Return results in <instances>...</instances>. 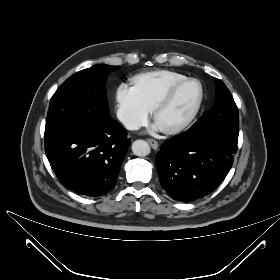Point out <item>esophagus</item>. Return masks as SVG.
<instances>
[{"instance_id":"esophagus-1","label":"esophagus","mask_w":280,"mask_h":280,"mask_svg":"<svg viewBox=\"0 0 280 280\" xmlns=\"http://www.w3.org/2000/svg\"><path fill=\"white\" fill-rule=\"evenodd\" d=\"M147 142L150 144V146L153 149H157L158 148V142L154 139H147Z\"/></svg>"}]
</instances>
